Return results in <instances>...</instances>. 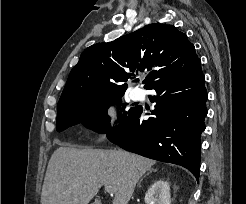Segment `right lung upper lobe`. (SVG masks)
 <instances>
[{
    "mask_svg": "<svg viewBox=\"0 0 246 204\" xmlns=\"http://www.w3.org/2000/svg\"><path fill=\"white\" fill-rule=\"evenodd\" d=\"M198 59L194 45L172 25L150 24L112 42L85 49L69 74L60 101L85 95L124 93L128 79L147 69V89Z\"/></svg>",
    "mask_w": 246,
    "mask_h": 204,
    "instance_id": "obj_1",
    "label": "right lung upper lobe"
}]
</instances>
